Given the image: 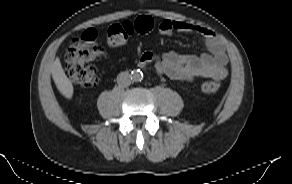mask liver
Listing matches in <instances>:
<instances>
[{"label":"liver","mask_w":292,"mask_h":184,"mask_svg":"<svg viewBox=\"0 0 292 184\" xmlns=\"http://www.w3.org/2000/svg\"><path fill=\"white\" fill-rule=\"evenodd\" d=\"M51 72L57 89L65 98L70 99L73 95V85L65 75L59 58L54 61Z\"/></svg>","instance_id":"1"}]
</instances>
